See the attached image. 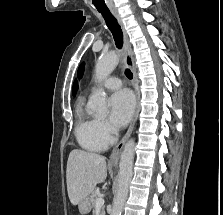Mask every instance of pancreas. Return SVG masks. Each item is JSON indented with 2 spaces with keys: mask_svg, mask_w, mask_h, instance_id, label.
Listing matches in <instances>:
<instances>
[{
  "mask_svg": "<svg viewBox=\"0 0 223 215\" xmlns=\"http://www.w3.org/2000/svg\"><path fill=\"white\" fill-rule=\"evenodd\" d=\"M99 193H97L96 189H94V191H92L91 195H89V199H91L95 206V203H96V199L98 197ZM93 215H95V207L93 209ZM100 215H105V211H104V207H101V211H100Z\"/></svg>",
  "mask_w": 223,
  "mask_h": 215,
  "instance_id": "1",
  "label": "pancreas"
}]
</instances>
